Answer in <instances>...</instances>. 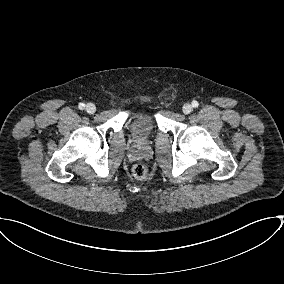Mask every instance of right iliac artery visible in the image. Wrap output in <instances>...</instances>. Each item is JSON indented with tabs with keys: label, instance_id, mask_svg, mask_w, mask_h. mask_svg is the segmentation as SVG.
<instances>
[{
	"label": "right iliac artery",
	"instance_id": "obj_1",
	"mask_svg": "<svg viewBox=\"0 0 284 284\" xmlns=\"http://www.w3.org/2000/svg\"><path fill=\"white\" fill-rule=\"evenodd\" d=\"M78 107H79V109H84L85 108V104L84 103H79V105H78Z\"/></svg>",
	"mask_w": 284,
	"mask_h": 284
}]
</instances>
